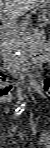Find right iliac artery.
Instances as JSON below:
<instances>
[{
	"label": "right iliac artery",
	"instance_id": "obj_1",
	"mask_svg": "<svg viewBox=\"0 0 50 148\" xmlns=\"http://www.w3.org/2000/svg\"><path fill=\"white\" fill-rule=\"evenodd\" d=\"M24 106H25V104H22L20 107H18V108L15 110L14 117L19 116V115L24 111Z\"/></svg>",
	"mask_w": 50,
	"mask_h": 148
}]
</instances>
